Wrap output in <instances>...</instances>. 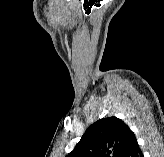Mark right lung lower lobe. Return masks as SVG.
<instances>
[{"label":"right lung lower lobe","instance_id":"right-lung-lower-lobe-1","mask_svg":"<svg viewBox=\"0 0 164 157\" xmlns=\"http://www.w3.org/2000/svg\"><path fill=\"white\" fill-rule=\"evenodd\" d=\"M123 157H143L137 141H134Z\"/></svg>","mask_w":164,"mask_h":157}]
</instances>
